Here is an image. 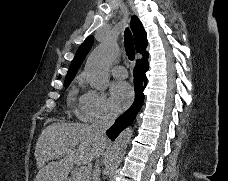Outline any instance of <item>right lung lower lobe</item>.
Instances as JSON below:
<instances>
[{
  "label": "right lung lower lobe",
  "mask_w": 228,
  "mask_h": 181,
  "mask_svg": "<svg viewBox=\"0 0 228 181\" xmlns=\"http://www.w3.org/2000/svg\"><path fill=\"white\" fill-rule=\"evenodd\" d=\"M148 71V55L143 56L142 59L136 61V66L133 70L134 75V88H135V100L132 106L123 113L110 127L106 134L114 140L119 133L129 126L135 119L137 113L141 109L144 101V88L147 84L146 72Z\"/></svg>",
  "instance_id": "right-lung-lower-lobe-1"
}]
</instances>
